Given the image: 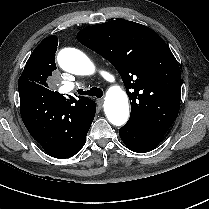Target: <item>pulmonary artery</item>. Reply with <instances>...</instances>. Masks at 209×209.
Listing matches in <instances>:
<instances>
[{
  "label": "pulmonary artery",
  "instance_id": "pulmonary-artery-1",
  "mask_svg": "<svg viewBox=\"0 0 209 209\" xmlns=\"http://www.w3.org/2000/svg\"><path fill=\"white\" fill-rule=\"evenodd\" d=\"M98 73H100L102 75V77L104 78L106 83H108L112 86H117L118 85V81L112 75H109L107 73H103L102 70H98ZM78 86H79V84H77V83L73 86L64 85V90L65 91H71L73 88L78 87Z\"/></svg>",
  "mask_w": 209,
  "mask_h": 209
}]
</instances>
